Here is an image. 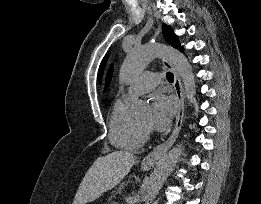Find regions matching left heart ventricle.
<instances>
[{
	"label": "left heart ventricle",
	"mask_w": 261,
	"mask_h": 204,
	"mask_svg": "<svg viewBox=\"0 0 261 204\" xmlns=\"http://www.w3.org/2000/svg\"><path fill=\"white\" fill-rule=\"evenodd\" d=\"M150 118H151V114H150V112H147V113L140 119V122L149 125V124H150Z\"/></svg>",
	"instance_id": "1"
}]
</instances>
